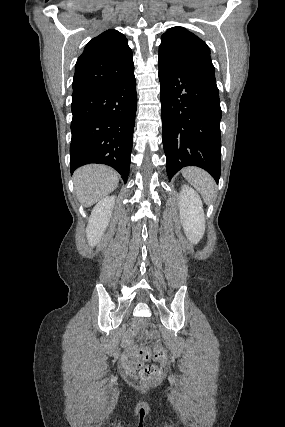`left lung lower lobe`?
<instances>
[{
    "label": "left lung lower lobe",
    "instance_id": "1",
    "mask_svg": "<svg viewBox=\"0 0 285 427\" xmlns=\"http://www.w3.org/2000/svg\"><path fill=\"white\" fill-rule=\"evenodd\" d=\"M162 141L169 179L186 166L203 168L219 181L221 134L215 75L158 58Z\"/></svg>",
    "mask_w": 285,
    "mask_h": 427
}]
</instances>
